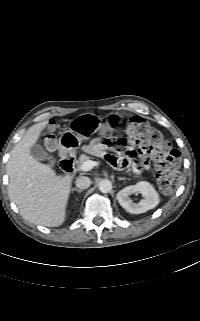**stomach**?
Instances as JSON below:
<instances>
[{"instance_id":"1","label":"stomach","mask_w":200,"mask_h":321,"mask_svg":"<svg viewBox=\"0 0 200 321\" xmlns=\"http://www.w3.org/2000/svg\"><path fill=\"white\" fill-rule=\"evenodd\" d=\"M122 117L111 114L106 119L108 127H115L121 122ZM102 125L101 119L93 114H81L70 121L69 130L59 140L60 146L65 151L72 153L81 145L82 140L87 139Z\"/></svg>"}]
</instances>
